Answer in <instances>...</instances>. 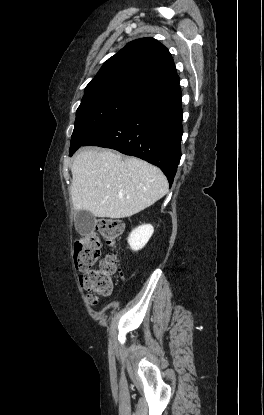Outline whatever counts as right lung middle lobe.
Instances as JSON below:
<instances>
[{"label":"right lung middle lobe","instance_id":"dd1d6c3e","mask_svg":"<svg viewBox=\"0 0 264 415\" xmlns=\"http://www.w3.org/2000/svg\"><path fill=\"white\" fill-rule=\"evenodd\" d=\"M141 100L142 98L137 95L124 92L84 96L76 112L70 151L85 144Z\"/></svg>","mask_w":264,"mask_h":415}]
</instances>
